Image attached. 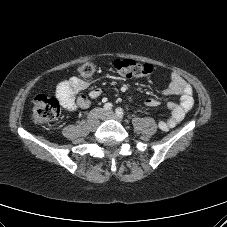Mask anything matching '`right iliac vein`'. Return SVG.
<instances>
[{
  "label": "right iliac vein",
  "instance_id": "right-iliac-vein-1",
  "mask_svg": "<svg viewBox=\"0 0 227 227\" xmlns=\"http://www.w3.org/2000/svg\"><path fill=\"white\" fill-rule=\"evenodd\" d=\"M104 111L101 108L94 109L88 116V125L90 128L94 129L98 126L99 119L104 118Z\"/></svg>",
  "mask_w": 227,
  "mask_h": 227
}]
</instances>
